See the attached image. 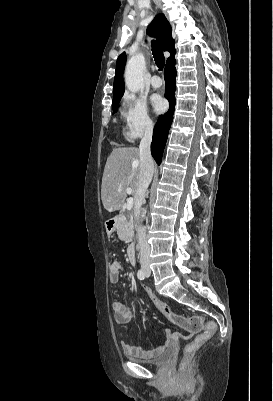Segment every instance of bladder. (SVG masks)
<instances>
[{
    "instance_id": "obj_1",
    "label": "bladder",
    "mask_w": 273,
    "mask_h": 401,
    "mask_svg": "<svg viewBox=\"0 0 273 401\" xmlns=\"http://www.w3.org/2000/svg\"><path fill=\"white\" fill-rule=\"evenodd\" d=\"M172 357H173L172 350H167L164 353H162L155 360H141V359H138V358L132 357V356H130L129 358L132 361H135V362H138V363H141V364H147V365H151V366L162 367V366L167 365L171 361Z\"/></svg>"
}]
</instances>
